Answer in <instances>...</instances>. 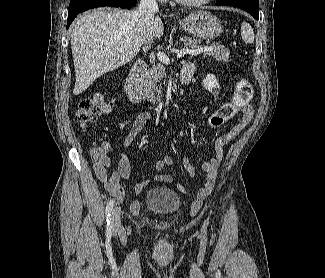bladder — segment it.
<instances>
[{
    "label": "bladder",
    "instance_id": "31cf9c89",
    "mask_svg": "<svg viewBox=\"0 0 325 278\" xmlns=\"http://www.w3.org/2000/svg\"><path fill=\"white\" fill-rule=\"evenodd\" d=\"M144 204L157 216H169L179 209L180 197L168 187L155 186L147 191Z\"/></svg>",
    "mask_w": 325,
    "mask_h": 278
}]
</instances>
